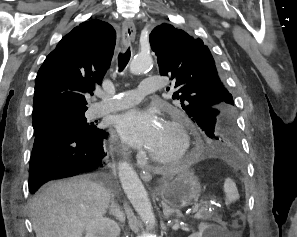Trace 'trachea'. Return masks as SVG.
I'll list each match as a JSON object with an SVG mask.
<instances>
[{"mask_svg": "<svg viewBox=\"0 0 297 237\" xmlns=\"http://www.w3.org/2000/svg\"><path fill=\"white\" fill-rule=\"evenodd\" d=\"M130 57H131L130 47L124 53H119V56H118L119 72H122L124 70V68L126 67V65L130 60Z\"/></svg>", "mask_w": 297, "mask_h": 237, "instance_id": "1", "label": "trachea"}]
</instances>
